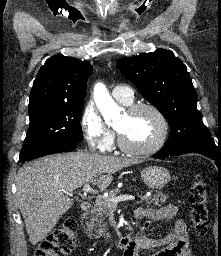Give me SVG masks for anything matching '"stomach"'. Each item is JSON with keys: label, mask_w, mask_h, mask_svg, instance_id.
Segmentation results:
<instances>
[{"label": "stomach", "mask_w": 221, "mask_h": 256, "mask_svg": "<svg viewBox=\"0 0 221 256\" xmlns=\"http://www.w3.org/2000/svg\"><path fill=\"white\" fill-rule=\"evenodd\" d=\"M141 178L151 189H161L171 180L170 172L159 166H150L141 171Z\"/></svg>", "instance_id": "1"}]
</instances>
